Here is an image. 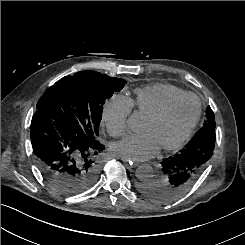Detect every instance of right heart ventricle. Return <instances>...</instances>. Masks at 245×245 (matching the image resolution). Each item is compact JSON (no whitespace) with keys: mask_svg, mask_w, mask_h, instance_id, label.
<instances>
[{"mask_svg":"<svg viewBox=\"0 0 245 245\" xmlns=\"http://www.w3.org/2000/svg\"><path fill=\"white\" fill-rule=\"evenodd\" d=\"M185 93L184 90L170 84H152L135 91L134 104L138 112L146 117L168 100Z\"/></svg>","mask_w":245,"mask_h":245,"instance_id":"right-heart-ventricle-1","label":"right heart ventricle"}]
</instances>
